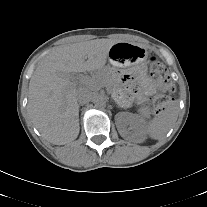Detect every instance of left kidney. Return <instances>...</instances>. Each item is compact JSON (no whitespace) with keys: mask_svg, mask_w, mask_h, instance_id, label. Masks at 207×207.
<instances>
[{"mask_svg":"<svg viewBox=\"0 0 207 207\" xmlns=\"http://www.w3.org/2000/svg\"><path fill=\"white\" fill-rule=\"evenodd\" d=\"M120 135L125 139H141L145 135V120L139 115L120 112L115 116Z\"/></svg>","mask_w":207,"mask_h":207,"instance_id":"1","label":"left kidney"}]
</instances>
